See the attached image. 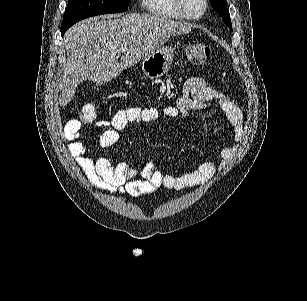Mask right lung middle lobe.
I'll list each match as a JSON object with an SVG mask.
<instances>
[{
    "mask_svg": "<svg viewBox=\"0 0 307 301\" xmlns=\"http://www.w3.org/2000/svg\"><path fill=\"white\" fill-rule=\"evenodd\" d=\"M129 0H69L64 13L61 35L76 22L99 14L128 10Z\"/></svg>",
    "mask_w": 307,
    "mask_h": 301,
    "instance_id": "1",
    "label": "right lung middle lobe"
}]
</instances>
